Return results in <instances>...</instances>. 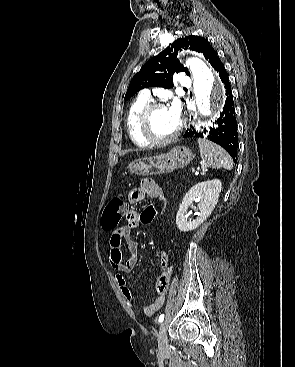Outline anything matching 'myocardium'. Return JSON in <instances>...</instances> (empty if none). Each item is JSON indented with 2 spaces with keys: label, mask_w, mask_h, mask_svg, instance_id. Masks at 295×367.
Segmentation results:
<instances>
[{
  "label": "myocardium",
  "mask_w": 295,
  "mask_h": 367,
  "mask_svg": "<svg viewBox=\"0 0 295 367\" xmlns=\"http://www.w3.org/2000/svg\"><path fill=\"white\" fill-rule=\"evenodd\" d=\"M161 108H166V105L162 102H152L147 104V106L142 110L139 121H138V129L141 137L147 141L151 145H166L173 141H175L178 136L180 135L182 131L183 124L181 121H179L178 128L176 131L169 137L166 138H158L154 136V134L151 131V117L153 113Z\"/></svg>",
  "instance_id": "1"
}]
</instances>
